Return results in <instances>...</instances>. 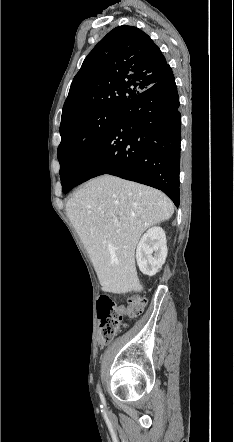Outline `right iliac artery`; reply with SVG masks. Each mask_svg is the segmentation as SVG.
<instances>
[{
    "label": "right iliac artery",
    "mask_w": 234,
    "mask_h": 442,
    "mask_svg": "<svg viewBox=\"0 0 234 442\" xmlns=\"http://www.w3.org/2000/svg\"><path fill=\"white\" fill-rule=\"evenodd\" d=\"M98 392H99V394L101 395V390H100L99 386H98Z\"/></svg>",
    "instance_id": "right-iliac-artery-1"
}]
</instances>
